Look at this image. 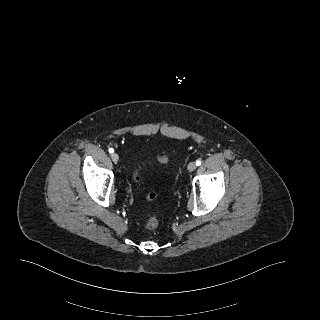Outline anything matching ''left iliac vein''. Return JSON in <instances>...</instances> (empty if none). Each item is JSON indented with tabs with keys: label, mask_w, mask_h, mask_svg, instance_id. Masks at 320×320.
Segmentation results:
<instances>
[{
	"label": "left iliac vein",
	"mask_w": 320,
	"mask_h": 320,
	"mask_svg": "<svg viewBox=\"0 0 320 320\" xmlns=\"http://www.w3.org/2000/svg\"><path fill=\"white\" fill-rule=\"evenodd\" d=\"M196 167H197V165H196L195 162H190V163L188 164V170H189V171H194V170L196 169Z\"/></svg>",
	"instance_id": "4c4485c4"
}]
</instances>
